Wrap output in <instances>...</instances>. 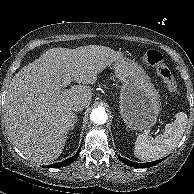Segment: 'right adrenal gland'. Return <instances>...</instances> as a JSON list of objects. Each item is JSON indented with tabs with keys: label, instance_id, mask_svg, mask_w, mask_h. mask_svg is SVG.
I'll return each mask as SVG.
<instances>
[{
	"label": "right adrenal gland",
	"instance_id": "1",
	"mask_svg": "<svg viewBox=\"0 0 194 194\" xmlns=\"http://www.w3.org/2000/svg\"><path fill=\"white\" fill-rule=\"evenodd\" d=\"M77 119H78V117L76 116V117H75V121H74V123H73V125H72V127H71V130H73V129L75 128V126H76V124H77Z\"/></svg>",
	"mask_w": 194,
	"mask_h": 194
}]
</instances>
